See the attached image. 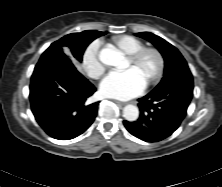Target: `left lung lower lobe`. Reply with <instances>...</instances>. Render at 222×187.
<instances>
[{"label":"left lung lower lobe","mask_w":222,"mask_h":187,"mask_svg":"<svg viewBox=\"0 0 222 187\" xmlns=\"http://www.w3.org/2000/svg\"><path fill=\"white\" fill-rule=\"evenodd\" d=\"M183 89L172 95L150 92L138 99L140 117L137 121H124L126 129L146 142H158L169 137L181 124L193 96V79L182 81Z\"/></svg>","instance_id":"0a47b994"}]
</instances>
